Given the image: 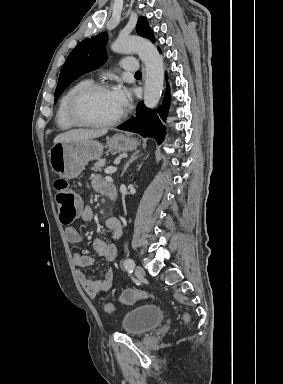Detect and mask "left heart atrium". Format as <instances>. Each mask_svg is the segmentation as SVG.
Segmentation results:
<instances>
[{
  "instance_id": "1",
  "label": "left heart atrium",
  "mask_w": 283,
  "mask_h": 384,
  "mask_svg": "<svg viewBox=\"0 0 283 384\" xmlns=\"http://www.w3.org/2000/svg\"><path fill=\"white\" fill-rule=\"evenodd\" d=\"M113 99L118 107V109L122 112L127 109L129 105V100H130V94L129 92L121 87V86H115L111 90Z\"/></svg>"
}]
</instances>
